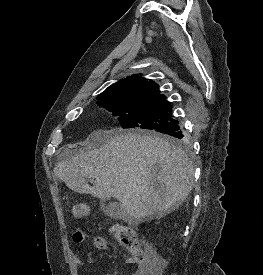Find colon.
<instances>
[{
	"instance_id": "colon-1",
	"label": "colon",
	"mask_w": 263,
	"mask_h": 275,
	"mask_svg": "<svg viewBox=\"0 0 263 275\" xmlns=\"http://www.w3.org/2000/svg\"><path fill=\"white\" fill-rule=\"evenodd\" d=\"M72 215L76 219L85 218L88 209L84 204H76L72 207ZM117 242L122 245L131 255L134 264L138 266L141 275H158L162 262L150 258L147 253L140 247L136 234L132 228L122 224H116L111 228Z\"/></svg>"
}]
</instances>
